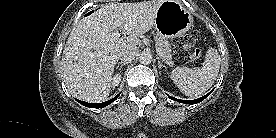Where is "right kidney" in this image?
<instances>
[{
	"label": "right kidney",
	"mask_w": 276,
	"mask_h": 138,
	"mask_svg": "<svg viewBox=\"0 0 276 138\" xmlns=\"http://www.w3.org/2000/svg\"><path fill=\"white\" fill-rule=\"evenodd\" d=\"M120 81H121V75H120V74H116V75L113 77L112 83H111V85L113 86V88H115L116 86H118L119 83H120Z\"/></svg>",
	"instance_id": "obj_1"
}]
</instances>
